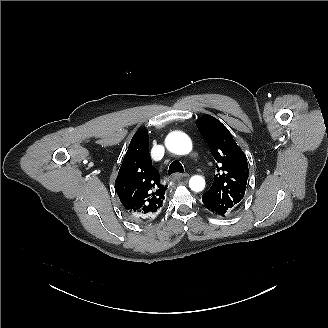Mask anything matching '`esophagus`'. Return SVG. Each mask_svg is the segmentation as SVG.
<instances>
[{
    "label": "esophagus",
    "instance_id": "34e87169",
    "mask_svg": "<svg viewBox=\"0 0 328 328\" xmlns=\"http://www.w3.org/2000/svg\"><path fill=\"white\" fill-rule=\"evenodd\" d=\"M188 174H181V173H174L171 178L172 179H177V178H182V177H187Z\"/></svg>",
    "mask_w": 328,
    "mask_h": 328
}]
</instances>
